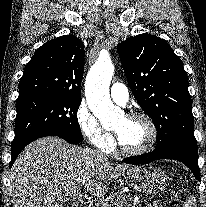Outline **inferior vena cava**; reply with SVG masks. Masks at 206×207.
<instances>
[{
  "label": "inferior vena cava",
  "instance_id": "inferior-vena-cava-1",
  "mask_svg": "<svg viewBox=\"0 0 206 207\" xmlns=\"http://www.w3.org/2000/svg\"><path fill=\"white\" fill-rule=\"evenodd\" d=\"M99 156H101L102 158H106L105 155L101 152L95 151Z\"/></svg>",
  "mask_w": 206,
  "mask_h": 207
}]
</instances>
